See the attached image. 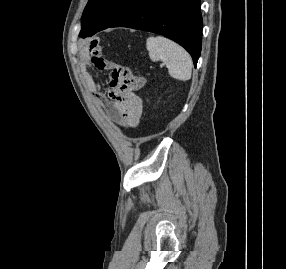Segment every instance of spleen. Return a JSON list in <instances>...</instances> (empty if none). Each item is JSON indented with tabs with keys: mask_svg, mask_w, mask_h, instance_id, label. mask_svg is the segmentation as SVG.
I'll use <instances>...</instances> for the list:
<instances>
[{
	"mask_svg": "<svg viewBox=\"0 0 286 269\" xmlns=\"http://www.w3.org/2000/svg\"><path fill=\"white\" fill-rule=\"evenodd\" d=\"M146 47L152 61H163L171 77L187 81L192 74V59L180 45L164 37H149Z\"/></svg>",
	"mask_w": 286,
	"mask_h": 269,
	"instance_id": "spleen-1",
	"label": "spleen"
}]
</instances>
